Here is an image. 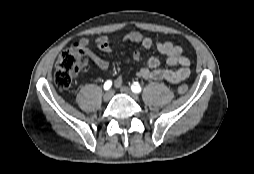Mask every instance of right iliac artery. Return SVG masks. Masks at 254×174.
Segmentation results:
<instances>
[{
  "label": "right iliac artery",
  "instance_id": "right-iliac-artery-1",
  "mask_svg": "<svg viewBox=\"0 0 254 174\" xmlns=\"http://www.w3.org/2000/svg\"><path fill=\"white\" fill-rule=\"evenodd\" d=\"M112 86V81L108 80L104 83V89L109 90Z\"/></svg>",
  "mask_w": 254,
  "mask_h": 174
}]
</instances>
